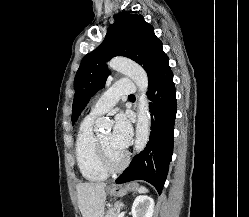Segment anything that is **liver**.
<instances>
[{
  "label": "liver",
  "instance_id": "1",
  "mask_svg": "<svg viewBox=\"0 0 249 217\" xmlns=\"http://www.w3.org/2000/svg\"><path fill=\"white\" fill-rule=\"evenodd\" d=\"M105 188V183H80L76 186L82 217L104 216Z\"/></svg>",
  "mask_w": 249,
  "mask_h": 217
}]
</instances>
